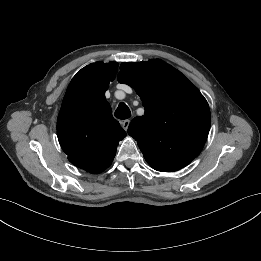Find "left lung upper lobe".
Listing matches in <instances>:
<instances>
[{
	"mask_svg": "<svg viewBox=\"0 0 261 261\" xmlns=\"http://www.w3.org/2000/svg\"><path fill=\"white\" fill-rule=\"evenodd\" d=\"M118 80L135 89L145 116L128 133L157 171L187 166L201 152L210 129V110L198 89L178 70L158 59L123 62Z\"/></svg>",
	"mask_w": 261,
	"mask_h": 261,
	"instance_id": "5c2ea615",
	"label": "left lung upper lobe"
}]
</instances>
